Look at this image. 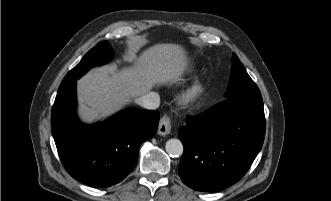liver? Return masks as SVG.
<instances>
[{
	"label": "liver",
	"mask_w": 331,
	"mask_h": 201,
	"mask_svg": "<svg viewBox=\"0 0 331 201\" xmlns=\"http://www.w3.org/2000/svg\"><path fill=\"white\" fill-rule=\"evenodd\" d=\"M186 66V55L179 45L157 44L145 50L131 67L95 68L77 82L79 116L84 122L105 118L154 85L177 81Z\"/></svg>",
	"instance_id": "obj_1"
}]
</instances>
